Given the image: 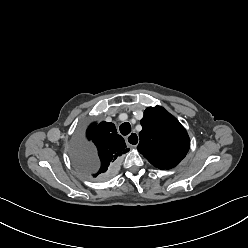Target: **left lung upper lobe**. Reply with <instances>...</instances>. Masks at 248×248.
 I'll return each mask as SVG.
<instances>
[{
  "label": "left lung upper lobe",
  "mask_w": 248,
  "mask_h": 248,
  "mask_svg": "<svg viewBox=\"0 0 248 248\" xmlns=\"http://www.w3.org/2000/svg\"><path fill=\"white\" fill-rule=\"evenodd\" d=\"M138 151L155 167L170 169L186 156L190 139L180 122L163 107H148L141 119Z\"/></svg>",
  "instance_id": "5c2ea615"
}]
</instances>
